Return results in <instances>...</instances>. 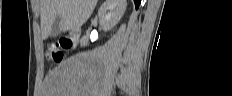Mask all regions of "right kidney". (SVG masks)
I'll return each mask as SVG.
<instances>
[{
  "label": "right kidney",
  "instance_id": "1",
  "mask_svg": "<svg viewBox=\"0 0 232 96\" xmlns=\"http://www.w3.org/2000/svg\"><path fill=\"white\" fill-rule=\"evenodd\" d=\"M126 0H106L98 10L99 23L105 31L111 30L121 19L126 10ZM88 36L82 38L85 45Z\"/></svg>",
  "mask_w": 232,
  "mask_h": 96
}]
</instances>
